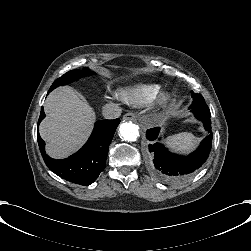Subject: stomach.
<instances>
[{
    "mask_svg": "<svg viewBox=\"0 0 251 251\" xmlns=\"http://www.w3.org/2000/svg\"><path fill=\"white\" fill-rule=\"evenodd\" d=\"M169 118H170V115H166V116L162 117L161 125H163L165 123V121H167Z\"/></svg>",
    "mask_w": 251,
    "mask_h": 251,
    "instance_id": "0dacf381",
    "label": "stomach"
}]
</instances>
